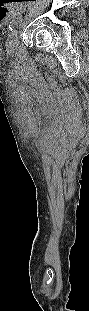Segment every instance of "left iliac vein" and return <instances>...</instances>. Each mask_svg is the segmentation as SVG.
Listing matches in <instances>:
<instances>
[{
	"label": "left iliac vein",
	"instance_id": "1",
	"mask_svg": "<svg viewBox=\"0 0 89 311\" xmlns=\"http://www.w3.org/2000/svg\"><path fill=\"white\" fill-rule=\"evenodd\" d=\"M18 34H19V29H15L12 31V33L9 36V40L7 43V51L8 53H13L18 44Z\"/></svg>",
	"mask_w": 89,
	"mask_h": 311
}]
</instances>
